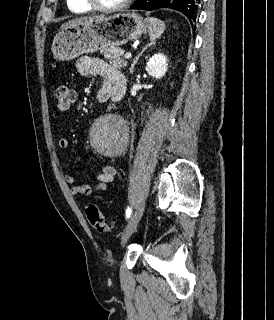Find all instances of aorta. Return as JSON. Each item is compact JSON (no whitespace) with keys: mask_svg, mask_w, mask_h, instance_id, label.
<instances>
[{"mask_svg":"<svg viewBox=\"0 0 274 320\" xmlns=\"http://www.w3.org/2000/svg\"><path fill=\"white\" fill-rule=\"evenodd\" d=\"M128 125L120 116L108 114L100 117L90 131V144L100 154L117 155L128 137Z\"/></svg>","mask_w":274,"mask_h":320,"instance_id":"762f6f07","label":"aorta"}]
</instances>
